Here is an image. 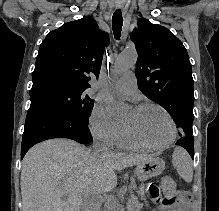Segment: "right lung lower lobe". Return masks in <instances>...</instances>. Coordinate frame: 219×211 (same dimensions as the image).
Returning a JSON list of instances; mask_svg holds the SVG:
<instances>
[{"label":"right lung lower lobe","mask_w":219,"mask_h":211,"mask_svg":"<svg viewBox=\"0 0 219 211\" xmlns=\"http://www.w3.org/2000/svg\"><path fill=\"white\" fill-rule=\"evenodd\" d=\"M52 138H68L81 144L93 140L88 122L76 119L51 102H31L22 138L21 159L32 146Z\"/></svg>","instance_id":"obj_1"}]
</instances>
